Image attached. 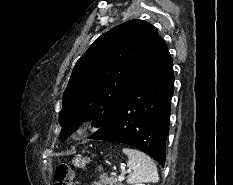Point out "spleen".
<instances>
[{"label":"spleen","mask_w":233,"mask_h":185,"mask_svg":"<svg viewBox=\"0 0 233 185\" xmlns=\"http://www.w3.org/2000/svg\"><path fill=\"white\" fill-rule=\"evenodd\" d=\"M123 153L128 156V167L132 170L127 178L129 184L144 185L142 183L158 182L157 167L148 155L132 148H123Z\"/></svg>","instance_id":"1"}]
</instances>
